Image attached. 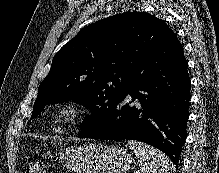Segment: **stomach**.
<instances>
[{
    "instance_id": "stomach-1",
    "label": "stomach",
    "mask_w": 219,
    "mask_h": 173,
    "mask_svg": "<svg viewBox=\"0 0 219 173\" xmlns=\"http://www.w3.org/2000/svg\"><path fill=\"white\" fill-rule=\"evenodd\" d=\"M58 158L76 173H126L133 161L122 147L94 143L69 146Z\"/></svg>"
}]
</instances>
